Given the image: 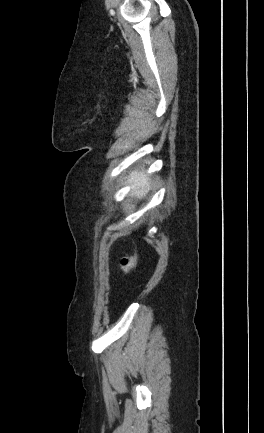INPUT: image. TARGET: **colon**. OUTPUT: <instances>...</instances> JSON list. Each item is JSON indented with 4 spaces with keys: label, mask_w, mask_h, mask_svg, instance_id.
I'll return each instance as SVG.
<instances>
[{
    "label": "colon",
    "mask_w": 264,
    "mask_h": 433,
    "mask_svg": "<svg viewBox=\"0 0 264 433\" xmlns=\"http://www.w3.org/2000/svg\"><path fill=\"white\" fill-rule=\"evenodd\" d=\"M139 253L134 250L133 254L130 256H125L121 259L120 267L124 276H128L130 271L138 264Z\"/></svg>",
    "instance_id": "obj_1"
}]
</instances>
